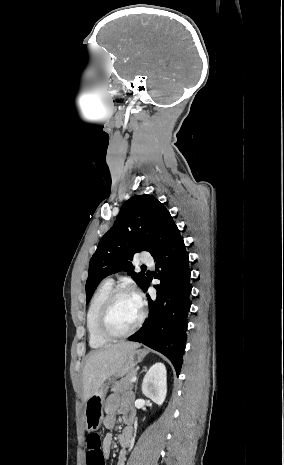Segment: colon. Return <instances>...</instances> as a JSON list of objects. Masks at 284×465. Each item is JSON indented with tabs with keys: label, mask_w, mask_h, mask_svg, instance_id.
Instances as JSON below:
<instances>
[{
	"label": "colon",
	"mask_w": 284,
	"mask_h": 465,
	"mask_svg": "<svg viewBox=\"0 0 284 465\" xmlns=\"http://www.w3.org/2000/svg\"><path fill=\"white\" fill-rule=\"evenodd\" d=\"M90 446L85 449L88 465H104L103 452L100 451V440L96 435L87 438Z\"/></svg>",
	"instance_id": "obj_1"
}]
</instances>
